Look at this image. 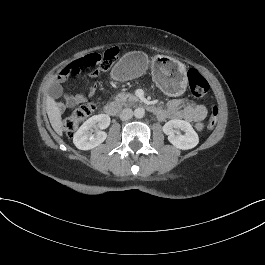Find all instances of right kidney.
<instances>
[{"mask_svg":"<svg viewBox=\"0 0 265 265\" xmlns=\"http://www.w3.org/2000/svg\"><path fill=\"white\" fill-rule=\"evenodd\" d=\"M107 114L90 117L74 134L73 143L80 150H90L100 145L107 138V133L101 131L110 125Z\"/></svg>","mask_w":265,"mask_h":265,"instance_id":"right-kidney-1","label":"right kidney"}]
</instances>
